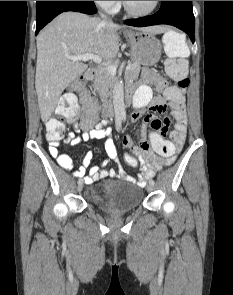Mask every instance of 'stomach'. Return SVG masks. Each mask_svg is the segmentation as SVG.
<instances>
[{
  "label": "stomach",
  "instance_id": "obj_1",
  "mask_svg": "<svg viewBox=\"0 0 233 295\" xmlns=\"http://www.w3.org/2000/svg\"><path fill=\"white\" fill-rule=\"evenodd\" d=\"M156 34L152 30L124 32L133 58L144 66L155 65L160 60L162 48Z\"/></svg>",
  "mask_w": 233,
  "mask_h": 295
}]
</instances>
